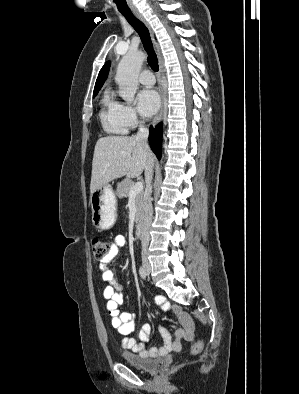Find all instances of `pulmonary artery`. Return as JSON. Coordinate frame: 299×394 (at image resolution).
Segmentation results:
<instances>
[{
    "mask_svg": "<svg viewBox=\"0 0 299 394\" xmlns=\"http://www.w3.org/2000/svg\"><path fill=\"white\" fill-rule=\"evenodd\" d=\"M139 81L146 87H151L155 83V77L150 70H143L139 75Z\"/></svg>",
    "mask_w": 299,
    "mask_h": 394,
    "instance_id": "pulmonary-artery-1",
    "label": "pulmonary artery"
}]
</instances>
